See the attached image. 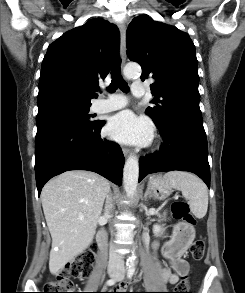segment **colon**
<instances>
[{
    "instance_id": "1",
    "label": "colon",
    "mask_w": 245,
    "mask_h": 293,
    "mask_svg": "<svg viewBox=\"0 0 245 293\" xmlns=\"http://www.w3.org/2000/svg\"><path fill=\"white\" fill-rule=\"evenodd\" d=\"M171 210L174 218L178 221H183L189 225H193L195 223V218L190 213L189 206L185 201H174L172 203ZM190 253L193 259L197 261L203 259L205 254V241L203 239L195 240L190 248ZM93 262L94 255L92 253L77 255L72 260V262L60 270L51 280L45 284L43 293H78L73 292L74 286L71 279L87 278L90 275ZM187 289L188 281L184 278L178 284L175 293H191L187 292Z\"/></svg>"
}]
</instances>
